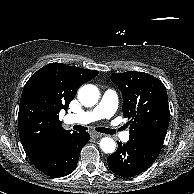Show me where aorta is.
I'll list each match as a JSON object with an SVG mask.
<instances>
[{
    "mask_svg": "<svg viewBox=\"0 0 194 194\" xmlns=\"http://www.w3.org/2000/svg\"><path fill=\"white\" fill-rule=\"evenodd\" d=\"M99 97L100 93L98 88L91 84L82 86L78 91V99L81 104L86 107H92L96 105ZM99 146L105 153H113L116 149V143L110 137H103L100 140Z\"/></svg>",
    "mask_w": 194,
    "mask_h": 194,
    "instance_id": "obj_1",
    "label": "aorta"
}]
</instances>
